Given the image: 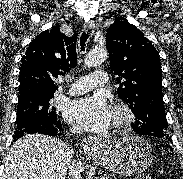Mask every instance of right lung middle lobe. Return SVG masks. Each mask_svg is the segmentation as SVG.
<instances>
[{
	"label": "right lung middle lobe",
	"mask_w": 183,
	"mask_h": 179,
	"mask_svg": "<svg viewBox=\"0 0 183 179\" xmlns=\"http://www.w3.org/2000/svg\"><path fill=\"white\" fill-rule=\"evenodd\" d=\"M53 97L54 94L19 98L15 134L30 126L55 123L57 121L56 109L49 103Z\"/></svg>",
	"instance_id": "1"
}]
</instances>
